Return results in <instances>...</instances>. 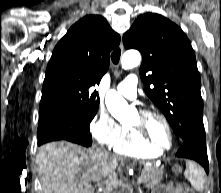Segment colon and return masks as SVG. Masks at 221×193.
<instances>
[{"label": "colon", "instance_id": "obj_1", "mask_svg": "<svg viewBox=\"0 0 221 193\" xmlns=\"http://www.w3.org/2000/svg\"><path fill=\"white\" fill-rule=\"evenodd\" d=\"M173 173L175 176H180L182 174V169L179 166H175L173 168ZM185 193H194V192L187 187L185 188Z\"/></svg>", "mask_w": 221, "mask_h": 193}]
</instances>
